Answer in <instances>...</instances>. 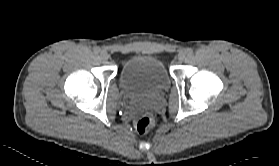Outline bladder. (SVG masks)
Masks as SVG:
<instances>
[{
  "instance_id": "bladder-1",
  "label": "bladder",
  "mask_w": 279,
  "mask_h": 166,
  "mask_svg": "<svg viewBox=\"0 0 279 166\" xmlns=\"http://www.w3.org/2000/svg\"><path fill=\"white\" fill-rule=\"evenodd\" d=\"M119 80L129 96H157L169 86V77L163 63L152 56H135L124 62Z\"/></svg>"
}]
</instances>
